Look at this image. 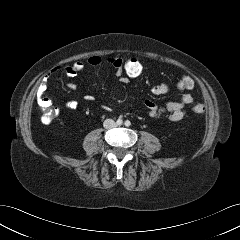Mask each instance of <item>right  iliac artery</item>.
Instances as JSON below:
<instances>
[{
  "label": "right iliac artery",
  "mask_w": 240,
  "mask_h": 240,
  "mask_svg": "<svg viewBox=\"0 0 240 240\" xmlns=\"http://www.w3.org/2000/svg\"><path fill=\"white\" fill-rule=\"evenodd\" d=\"M116 123H117V125H119V126H120V125H122V124H123V120L119 118V119L116 121Z\"/></svg>",
  "instance_id": "obj_1"
}]
</instances>
